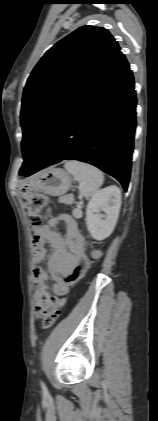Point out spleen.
<instances>
[{
	"label": "spleen",
	"mask_w": 158,
	"mask_h": 421,
	"mask_svg": "<svg viewBox=\"0 0 158 421\" xmlns=\"http://www.w3.org/2000/svg\"><path fill=\"white\" fill-rule=\"evenodd\" d=\"M64 167L80 183L79 191L84 197H93L103 184V173L90 164L73 160L66 162Z\"/></svg>",
	"instance_id": "3e777b00"
}]
</instances>
